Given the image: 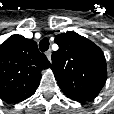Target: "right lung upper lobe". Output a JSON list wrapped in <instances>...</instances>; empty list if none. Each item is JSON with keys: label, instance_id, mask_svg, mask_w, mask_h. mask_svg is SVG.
I'll list each match as a JSON object with an SVG mask.
<instances>
[{"label": "right lung upper lobe", "instance_id": "obj_1", "mask_svg": "<svg viewBox=\"0 0 114 114\" xmlns=\"http://www.w3.org/2000/svg\"><path fill=\"white\" fill-rule=\"evenodd\" d=\"M50 66L32 39L12 35L0 45V98L20 102L34 94L41 70Z\"/></svg>", "mask_w": 114, "mask_h": 114}]
</instances>
